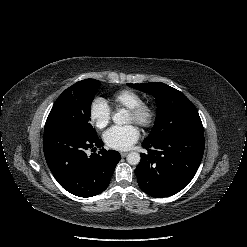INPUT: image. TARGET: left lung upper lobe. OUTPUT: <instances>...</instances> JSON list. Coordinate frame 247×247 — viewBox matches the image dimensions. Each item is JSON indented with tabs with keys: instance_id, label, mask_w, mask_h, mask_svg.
<instances>
[{
	"instance_id": "1",
	"label": "left lung upper lobe",
	"mask_w": 247,
	"mask_h": 247,
	"mask_svg": "<svg viewBox=\"0 0 247 247\" xmlns=\"http://www.w3.org/2000/svg\"><path fill=\"white\" fill-rule=\"evenodd\" d=\"M127 85L156 98V122L146 141H162L173 136L204 137L198 111L182 92L161 82Z\"/></svg>"
}]
</instances>
